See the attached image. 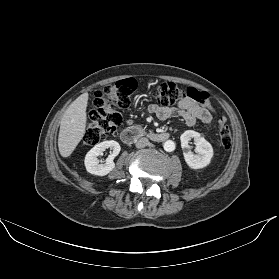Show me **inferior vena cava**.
Returning <instances> with one entry per match:
<instances>
[{"label": "inferior vena cava", "instance_id": "602c4592", "mask_svg": "<svg viewBox=\"0 0 279 279\" xmlns=\"http://www.w3.org/2000/svg\"><path fill=\"white\" fill-rule=\"evenodd\" d=\"M149 144V140L146 137H142L136 141L137 148H144Z\"/></svg>", "mask_w": 279, "mask_h": 279}]
</instances>
